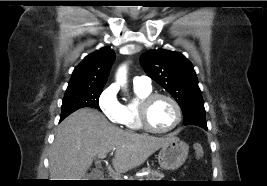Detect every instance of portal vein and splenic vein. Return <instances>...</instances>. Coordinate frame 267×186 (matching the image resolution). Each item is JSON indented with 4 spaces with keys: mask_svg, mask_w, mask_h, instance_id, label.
Returning <instances> with one entry per match:
<instances>
[{
    "mask_svg": "<svg viewBox=\"0 0 267 186\" xmlns=\"http://www.w3.org/2000/svg\"><path fill=\"white\" fill-rule=\"evenodd\" d=\"M106 154L105 153H103V154H99L98 155V158H100V159H104V158H106ZM112 178H114L115 180H117L118 179V175H116V174H113L112 175Z\"/></svg>",
    "mask_w": 267,
    "mask_h": 186,
    "instance_id": "obj_1",
    "label": "portal vein and splenic vein"
}]
</instances>
